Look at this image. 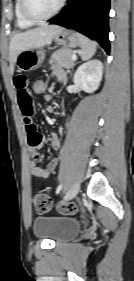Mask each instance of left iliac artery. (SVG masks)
Returning a JSON list of instances; mask_svg holds the SVG:
<instances>
[{"label": "left iliac artery", "instance_id": "44dca946", "mask_svg": "<svg viewBox=\"0 0 134 281\" xmlns=\"http://www.w3.org/2000/svg\"><path fill=\"white\" fill-rule=\"evenodd\" d=\"M62 184H60L58 187H57V190H56V194H58L60 191H61V189H62Z\"/></svg>", "mask_w": 134, "mask_h": 281}]
</instances>
